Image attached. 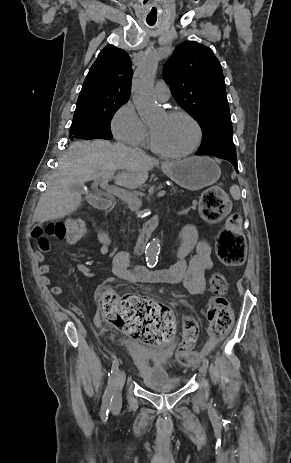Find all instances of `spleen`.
<instances>
[{"mask_svg": "<svg viewBox=\"0 0 291 463\" xmlns=\"http://www.w3.org/2000/svg\"><path fill=\"white\" fill-rule=\"evenodd\" d=\"M230 194L232 195L233 199L239 200L241 197L240 189L237 185H232L230 188Z\"/></svg>", "mask_w": 291, "mask_h": 463, "instance_id": "3e777b00", "label": "spleen"}]
</instances>
